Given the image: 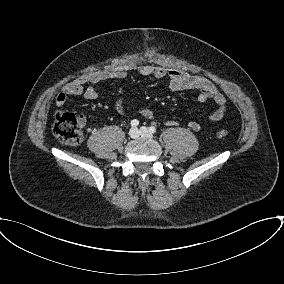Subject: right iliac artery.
Returning a JSON list of instances; mask_svg holds the SVG:
<instances>
[{"label":"right iliac artery","mask_w":284,"mask_h":284,"mask_svg":"<svg viewBox=\"0 0 284 284\" xmlns=\"http://www.w3.org/2000/svg\"><path fill=\"white\" fill-rule=\"evenodd\" d=\"M139 125V121L137 119H134L131 121V126L132 127H137Z\"/></svg>","instance_id":"obj_1"}]
</instances>
